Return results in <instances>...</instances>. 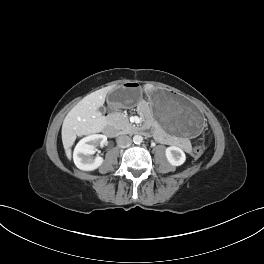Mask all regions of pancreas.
Returning a JSON list of instances; mask_svg holds the SVG:
<instances>
[{
  "label": "pancreas",
  "instance_id": "1",
  "mask_svg": "<svg viewBox=\"0 0 264 264\" xmlns=\"http://www.w3.org/2000/svg\"><path fill=\"white\" fill-rule=\"evenodd\" d=\"M112 120L114 126L118 130H122L123 132H127L132 128V124L129 122L127 115L120 112H115L112 114Z\"/></svg>",
  "mask_w": 264,
  "mask_h": 264
}]
</instances>
